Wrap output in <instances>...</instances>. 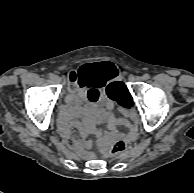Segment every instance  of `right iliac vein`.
I'll return each instance as SVG.
<instances>
[{"instance_id": "right-iliac-vein-1", "label": "right iliac vein", "mask_w": 194, "mask_h": 193, "mask_svg": "<svg viewBox=\"0 0 194 193\" xmlns=\"http://www.w3.org/2000/svg\"><path fill=\"white\" fill-rule=\"evenodd\" d=\"M53 80H54L55 83H59L61 79H60L59 76H56L55 75L54 78H53Z\"/></svg>"}]
</instances>
